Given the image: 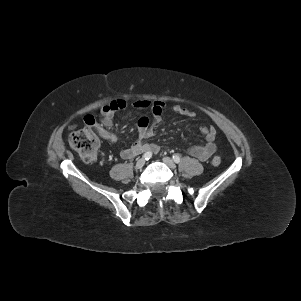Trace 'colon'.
I'll return each instance as SVG.
<instances>
[{
	"label": "colon",
	"instance_id": "5ec220e1",
	"mask_svg": "<svg viewBox=\"0 0 301 301\" xmlns=\"http://www.w3.org/2000/svg\"><path fill=\"white\" fill-rule=\"evenodd\" d=\"M70 146L87 162H92L96 159L99 140L93 130L90 128H82L73 132L69 137ZM214 166L221 164V158L214 156L212 159Z\"/></svg>",
	"mask_w": 301,
	"mask_h": 301
}]
</instances>
